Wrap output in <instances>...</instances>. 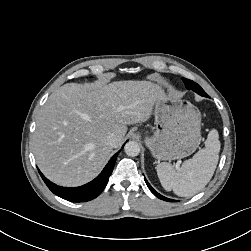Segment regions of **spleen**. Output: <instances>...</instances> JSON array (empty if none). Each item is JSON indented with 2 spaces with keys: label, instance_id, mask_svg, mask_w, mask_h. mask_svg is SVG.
Returning <instances> with one entry per match:
<instances>
[{
  "label": "spleen",
  "instance_id": "1",
  "mask_svg": "<svg viewBox=\"0 0 251 251\" xmlns=\"http://www.w3.org/2000/svg\"><path fill=\"white\" fill-rule=\"evenodd\" d=\"M220 151L218 131L212 129L205 141V148L191 159L184 161L179 169L162 162L156 170L163 188L181 197H190L201 191L211 180L216 169Z\"/></svg>",
  "mask_w": 251,
  "mask_h": 251
}]
</instances>
